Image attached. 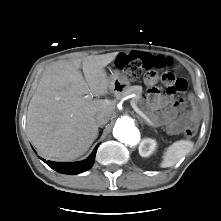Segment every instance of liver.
Masks as SVG:
<instances>
[{
	"mask_svg": "<svg viewBox=\"0 0 221 221\" xmlns=\"http://www.w3.org/2000/svg\"><path fill=\"white\" fill-rule=\"evenodd\" d=\"M118 52L56 61L42 74L27 112L30 139L51 160L69 161L83 155L98 136L95 117L113 114L115 105L85 94L105 95L110 81L105 67ZM82 65L84 76L80 66Z\"/></svg>",
	"mask_w": 221,
	"mask_h": 221,
	"instance_id": "6515ba94",
	"label": "liver"
}]
</instances>
